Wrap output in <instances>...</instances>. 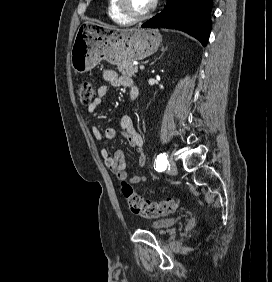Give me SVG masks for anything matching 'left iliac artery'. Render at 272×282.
Instances as JSON below:
<instances>
[{
	"label": "left iliac artery",
	"instance_id": "44dca946",
	"mask_svg": "<svg viewBox=\"0 0 272 282\" xmlns=\"http://www.w3.org/2000/svg\"><path fill=\"white\" fill-rule=\"evenodd\" d=\"M168 159L165 153H161L157 156L156 159V170L164 171L168 166Z\"/></svg>",
	"mask_w": 272,
	"mask_h": 282
}]
</instances>
